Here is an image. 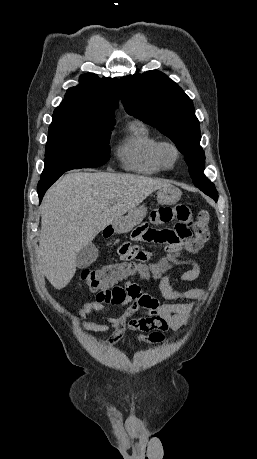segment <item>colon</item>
<instances>
[{"mask_svg": "<svg viewBox=\"0 0 257 459\" xmlns=\"http://www.w3.org/2000/svg\"><path fill=\"white\" fill-rule=\"evenodd\" d=\"M191 227L197 228V235L191 241H186L184 250L178 251L176 257H171L169 251L162 260L157 263L147 264H109L102 268H86L82 271L81 277L85 284L93 291L104 290L117 282L132 280L134 278L151 279L160 274L167 266L180 257L198 251L210 237L209 213L202 210L197 218L191 222ZM165 232V231H164ZM97 298L101 301L104 297L100 294Z\"/></svg>", "mask_w": 257, "mask_h": 459, "instance_id": "5ec220e1", "label": "colon"}]
</instances>
